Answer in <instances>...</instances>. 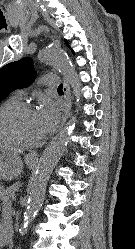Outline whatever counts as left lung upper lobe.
<instances>
[{
	"mask_svg": "<svg viewBox=\"0 0 135 249\" xmlns=\"http://www.w3.org/2000/svg\"><path fill=\"white\" fill-rule=\"evenodd\" d=\"M68 47V41L65 40ZM72 53L74 51L71 49ZM36 77L30 57L11 62L0 69V101L18 88L28 87Z\"/></svg>",
	"mask_w": 135,
	"mask_h": 249,
	"instance_id": "5c2ea615",
	"label": "left lung upper lobe"
}]
</instances>
